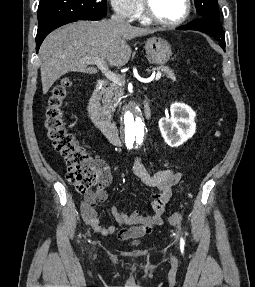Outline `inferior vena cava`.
I'll list each match as a JSON object with an SVG mask.
<instances>
[{"instance_id":"602c4592","label":"inferior vena cava","mask_w":255,"mask_h":287,"mask_svg":"<svg viewBox=\"0 0 255 287\" xmlns=\"http://www.w3.org/2000/svg\"><path fill=\"white\" fill-rule=\"evenodd\" d=\"M110 22H114V24H126L121 14H114V16H111Z\"/></svg>"}]
</instances>
